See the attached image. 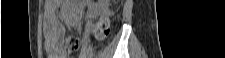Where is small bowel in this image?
<instances>
[{
	"label": "small bowel",
	"mask_w": 225,
	"mask_h": 58,
	"mask_svg": "<svg viewBox=\"0 0 225 58\" xmlns=\"http://www.w3.org/2000/svg\"><path fill=\"white\" fill-rule=\"evenodd\" d=\"M68 1H46L44 9V48L49 54H57L63 47L66 32L65 25L57 15V11Z\"/></svg>",
	"instance_id": "c3829d8e"
}]
</instances>
